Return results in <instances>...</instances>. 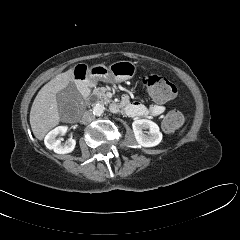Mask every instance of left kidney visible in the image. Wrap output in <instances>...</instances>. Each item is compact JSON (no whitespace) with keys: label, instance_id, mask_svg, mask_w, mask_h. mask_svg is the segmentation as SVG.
I'll use <instances>...</instances> for the list:
<instances>
[{"label":"left kidney","instance_id":"1","mask_svg":"<svg viewBox=\"0 0 240 240\" xmlns=\"http://www.w3.org/2000/svg\"><path fill=\"white\" fill-rule=\"evenodd\" d=\"M132 129L137 143L143 147H154L162 140V133L159 126L151 120H135L132 123ZM143 129L149 130L148 135L144 134Z\"/></svg>","mask_w":240,"mask_h":240}]
</instances>
